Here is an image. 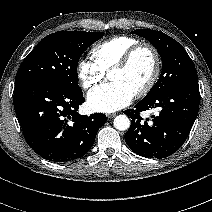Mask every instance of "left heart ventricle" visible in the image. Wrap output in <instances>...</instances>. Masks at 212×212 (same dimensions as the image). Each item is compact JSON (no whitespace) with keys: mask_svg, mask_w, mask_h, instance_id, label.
Wrapping results in <instances>:
<instances>
[{"mask_svg":"<svg viewBox=\"0 0 212 212\" xmlns=\"http://www.w3.org/2000/svg\"><path fill=\"white\" fill-rule=\"evenodd\" d=\"M153 65V57L150 52L142 51L137 54L127 69L110 72L108 79L125 85L135 93L150 78Z\"/></svg>","mask_w":212,"mask_h":212,"instance_id":"1","label":"left heart ventricle"}]
</instances>
